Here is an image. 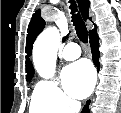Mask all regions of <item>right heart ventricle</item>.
I'll return each instance as SVG.
<instances>
[{
	"label": "right heart ventricle",
	"instance_id": "obj_1",
	"mask_svg": "<svg viewBox=\"0 0 121 113\" xmlns=\"http://www.w3.org/2000/svg\"><path fill=\"white\" fill-rule=\"evenodd\" d=\"M28 110L29 113H50L48 107L39 99L37 87L30 98Z\"/></svg>",
	"mask_w": 121,
	"mask_h": 113
}]
</instances>
